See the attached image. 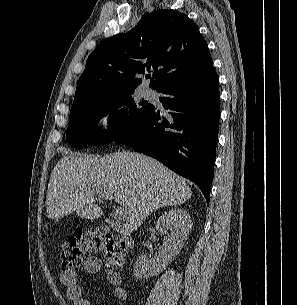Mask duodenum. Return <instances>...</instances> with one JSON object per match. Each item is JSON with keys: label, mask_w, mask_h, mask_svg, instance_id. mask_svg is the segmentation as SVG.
<instances>
[{"label": "duodenum", "mask_w": 297, "mask_h": 305, "mask_svg": "<svg viewBox=\"0 0 297 305\" xmlns=\"http://www.w3.org/2000/svg\"><path fill=\"white\" fill-rule=\"evenodd\" d=\"M107 223L112 227L115 231L122 235V241L125 247L128 250H131L134 246V240L132 234L129 230V227L123 222H117L114 220H107Z\"/></svg>", "instance_id": "obj_1"}]
</instances>
